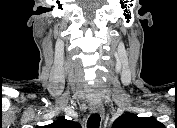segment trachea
I'll return each instance as SVG.
<instances>
[{"mask_svg":"<svg viewBox=\"0 0 177 128\" xmlns=\"http://www.w3.org/2000/svg\"><path fill=\"white\" fill-rule=\"evenodd\" d=\"M100 120L99 114H91L87 121V128H99Z\"/></svg>","mask_w":177,"mask_h":128,"instance_id":"1","label":"trachea"}]
</instances>
